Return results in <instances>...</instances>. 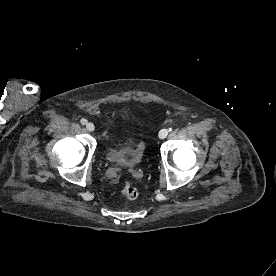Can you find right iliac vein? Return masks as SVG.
Wrapping results in <instances>:
<instances>
[{
  "label": "right iliac vein",
  "mask_w": 276,
  "mask_h": 276,
  "mask_svg": "<svg viewBox=\"0 0 276 276\" xmlns=\"http://www.w3.org/2000/svg\"><path fill=\"white\" fill-rule=\"evenodd\" d=\"M86 129L90 132H93L95 130V126L92 122L86 123Z\"/></svg>",
  "instance_id": "right-iliac-vein-1"
}]
</instances>
